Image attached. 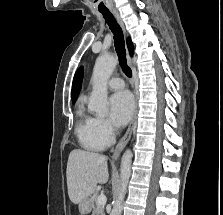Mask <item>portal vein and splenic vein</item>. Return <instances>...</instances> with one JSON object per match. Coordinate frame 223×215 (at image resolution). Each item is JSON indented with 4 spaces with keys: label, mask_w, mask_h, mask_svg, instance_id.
<instances>
[{
    "label": "portal vein and splenic vein",
    "mask_w": 223,
    "mask_h": 215,
    "mask_svg": "<svg viewBox=\"0 0 223 215\" xmlns=\"http://www.w3.org/2000/svg\"><path fill=\"white\" fill-rule=\"evenodd\" d=\"M106 201H107L106 195H104V193H100L97 199V205H105Z\"/></svg>",
    "instance_id": "obj_1"
}]
</instances>
